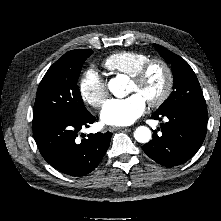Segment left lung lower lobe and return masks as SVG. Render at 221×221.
<instances>
[{
  "label": "left lung lower lobe",
  "mask_w": 221,
  "mask_h": 221,
  "mask_svg": "<svg viewBox=\"0 0 221 221\" xmlns=\"http://www.w3.org/2000/svg\"><path fill=\"white\" fill-rule=\"evenodd\" d=\"M169 121L155 130L153 139L142 146L143 151L157 163L172 167L188 161L202 145L207 127L206 106H183L168 112H154L151 119Z\"/></svg>",
  "instance_id": "1"
}]
</instances>
